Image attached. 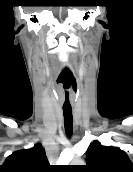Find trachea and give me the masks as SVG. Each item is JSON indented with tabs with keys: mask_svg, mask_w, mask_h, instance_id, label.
<instances>
[{
	"mask_svg": "<svg viewBox=\"0 0 133 172\" xmlns=\"http://www.w3.org/2000/svg\"><path fill=\"white\" fill-rule=\"evenodd\" d=\"M65 131L68 136L72 135L73 117L71 108H63Z\"/></svg>",
	"mask_w": 133,
	"mask_h": 172,
	"instance_id": "obj_1",
	"label": "trachea"
}]
</instances>
